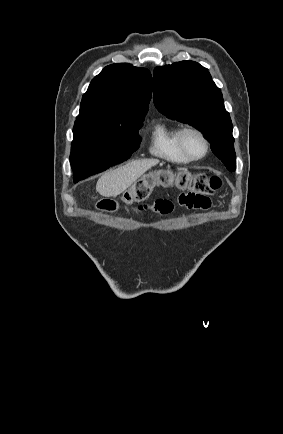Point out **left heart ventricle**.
Wrapping results in <instances>:
<instances>
[{
  "mask_svg": "<svg viewBox=\"0 0 283 434\" xmlns=\"http://www.w3.org/2000/svg\"><path fill=\"white\" fill-rule=\"evenodd\" d=\"M185 144L189 152L195 156L202 154L204 144L200 137L195 133H189L185 137Z\"/></svg>",
  "mask_w": 283,
  "mask_h": 434,
  "instance_id": "1",
  "label": "left heart ventricle"
}]
</instances>
